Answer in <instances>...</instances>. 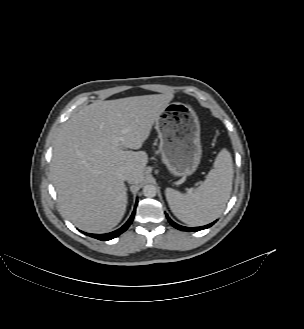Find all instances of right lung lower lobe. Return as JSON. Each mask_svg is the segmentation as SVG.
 Returning a JSON list of instances; mask_svg holds the SVG:
<instances>
[{
    "mask_svg": "<svg viewBox=\"0 0 304 329\" xmlns=\"http://www.w3.org/2000/svg\"><path fill=\"white\" fill-rule=\"evenodd\" d=\"M135 211L136 210L134 209V211H133L131 217L129 218V220L121 228H119L116 231H113V232L107 233V234H89V233H84V234H86L90 237L99 239V240H103V241L111 240L115 237H118L120 234H122L124 231H126L127 228L130 226V224L132 223V220H133L134 215H135Z\"/></svg>",
    "mask_w": 304,
    "mask_h": 329,
    "instance_id": "98d812e1",
    "label": "right lung lower lobe"
}]
</instances>
